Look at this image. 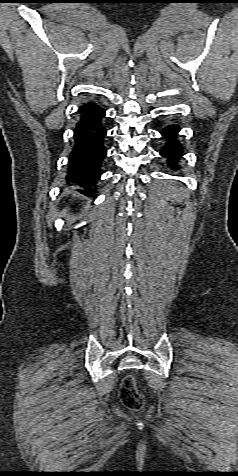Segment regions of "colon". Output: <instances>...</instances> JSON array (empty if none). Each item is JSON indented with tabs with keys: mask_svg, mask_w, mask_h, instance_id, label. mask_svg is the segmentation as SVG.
Instances as JSON below:
<instances>
[{
	"mask_svg": "<svg viewBox=\"0 0 238 476\" xmlns=\"http://www.w3.org/2000/svg\"><path fill=\"white\" fill-rule=\"evenodd\" d=\"M119 396L122 403L130 409H140L143 406V397L139 393L132 376H126L120 386Z\"/></svg>",
	"mask_w": 238,
	"mask_h": 476,
	"instance_id": "colon-1",
	"label": "colon"
}]
</instances>
